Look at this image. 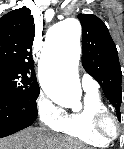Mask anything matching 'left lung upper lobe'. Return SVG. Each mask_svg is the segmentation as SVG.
<instances>
[{
  "instance_id": "1",
  "label": "left lung upper lobe",
  "mask_w": 124,
  "mask_h": 149,
  "mask_svg": "<svg viewBox=\"0 0 124 149\" xmlns=\"http://www.w3.org/2000/svg\"><path fill=\"white\" fill-rule=\"evenodd\" d=\"M82 25V64L101 85L104 95L116 109L121 121L122 72L118 52L106 25L93 14H79Z\"/></svg>"
}]
</instances>
